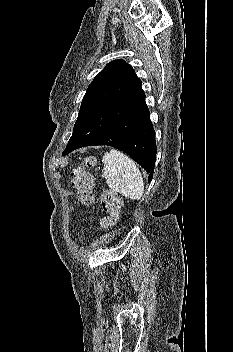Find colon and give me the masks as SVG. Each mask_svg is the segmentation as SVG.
Returning <instances> with one entry per match:
<instances>
[{
  "label": "colon",
  "mask_w": 233,
  "mask_h": 352,
  "mask_svg": "<svg viewBox=\"0 0 233 352\" xmlns=\"http://www.w3.org/2000/svg\"><path fill=\"white\" fill-rule=\"evenodd\" d=\"M95 165L96 158L94 156H86L71 171L72 186L77 190L79 199L83 204L88 205L93 202L92 188L94 179L87 169ZM100 201L106 215L100 219L99 226L102 229H109L115 226L119 220L122 200L116 192L106 188L101 192Z\"/></svg>",
  "instance_id": "obj_1"
}]
</instances>
